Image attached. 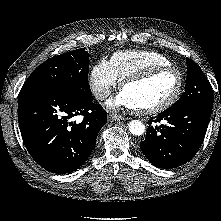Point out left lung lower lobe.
Here are the masks:
<instances>
[{
	"instance_id": "0a47b994",
	"label": "left lung lower lobe",
	"mask_w": 221,
	"mask_h": 221,
	"mask_svg": "<svg viewBox=\"0 0 221 221\" xmlns=\"http://www.w3.org/2000/svg\"><path fill=\"white\" fill-rule=\"evenodd\" d=\"M213 104L192 103L177 110L167 109L156 120L167 125L147 129L140 149L158 168H174L190 161L199 150L210 120Z\"/></svg>"
}]
</instances>
